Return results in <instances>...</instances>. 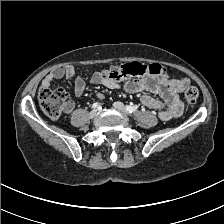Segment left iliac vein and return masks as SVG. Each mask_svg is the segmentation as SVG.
I'll list each match as a JSON object with an SVG mask.
<instances>
[{"mask_svg": "<svg viewBox=\"0 0 224 224\" xmlns=\"http://www.w3.org/2000/svg\"><path fill=\"white\" fill-rule=\"evenodd\" d=\"M113 106H114L116 109L121 110V111H123L124 113L128 114V112H127V110H126V107L123 105V103H121V102H115V103L113 104Z\"/></svg>", "mask_w": 224, "mask_h": 224, "instance_id": "4c4485c4", "label": "left iliac vein"}]
</instances>
